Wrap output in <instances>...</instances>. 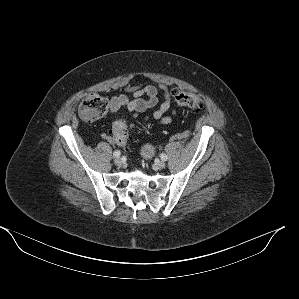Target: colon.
Returning <instances> with one entry per match:
<instances>
[{"mask_svg": "<svg viewBox=\"0 0 299 299\" xmlns=\"http://www.w3.org/2000/svg\"><path fill=\"white\" fill-rule=\"evenodd\" d=\"M176 102L184 108L193 111L204 110L206 105L203 98L194 93L178 92L175 94ZM109 105L106 98L98 94L85 95L78 107L80 116L86 121H95L103 117L108 111ZM129 125L126 120L119 119L113 123L112 134L114 140L122 147L125 146Z\"/></svg>", "mask_w": 299, "mask_h": 299, "instance_id": "colon-1", "label": "colon"}]
</instances>
